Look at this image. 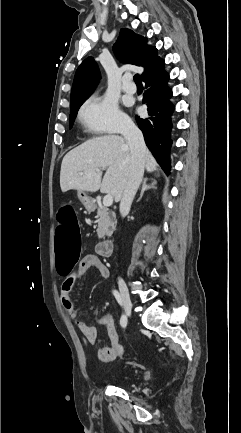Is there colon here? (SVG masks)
<instances>
[{"mask_svg":"<svg viewBox=\"0 0 241 433\" xmlns=\"http://www.w3.org/2000/svg\"><path fill=\"white\" fill-rule=\"evenodd\" d=\"M76 212V205H61L60 212L54 213V220L58 224L54 230L56 272H73L78 260L81 221L77 220ZM114 349L117 356H123V348L119 343L114 345Z\"/></svg>","mask_w":241,"mask_h":433,"instance_id":"obj_1","label":"colon"}]
</instances>
